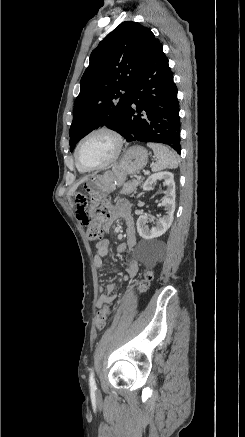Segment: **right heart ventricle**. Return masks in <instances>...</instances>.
<instances>
[{
    "instance_id": "1",
    "label": "right heart ventricle",
    "mask_w": 245,
    "mask_h": 437,
    "mask_svg": "<svg viewBox=\"0 0 245 437\" xmlns=\"http://www.w3.org/2000/svg\"><path fill=\"white\" fill-rule=\"evenodd\" d=\"M76 167H77L78 171L81 172V173L87 172V170L81 168L77 163H76Z\"/></svg>"
}]
</instances>
